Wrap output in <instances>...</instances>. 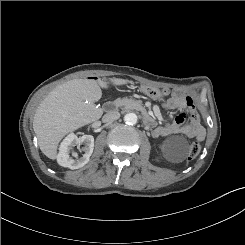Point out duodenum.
Segmentation results:
<instances>
[{
    "mask_svg": "<svg viewBox=\"0 0 245 245\" xmlns=\"http://www.w3.org/2000/svg\"><path fill=\"white\" fill-rule=\"evenodd\" d=\"M117 105H118L117 102H109V103L106 104V107H105V108H106V110H107L108 112H110V111L115 110L116 107H117ZM143 120H144V123H145L147 126H152V125H153V119H152L151 116L145 115L144 118H143Z\"/></svg>",
    "mask_w": 245,
    "mask_h": 245,
    "instance_id": "obj_1",
    "label": "duodenum"
}]
</instances>
